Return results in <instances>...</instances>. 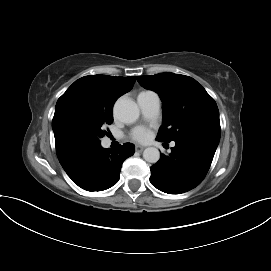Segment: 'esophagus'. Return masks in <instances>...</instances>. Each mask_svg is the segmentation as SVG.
<instances>
[{
  "instance_id": "obj_1",
  "label": "esophagus",
  "mask_w": 271,
  "mask_h": 271,
  "mask_svg": "<svg viewBox=\"0 0 271 271\" xmlns=\"http://www.w3.org/2000/svg\"><path fill=\"white\" fill-rule=\"evenodd\" d=\"M135 149L137 152H142L145 149V147L142 145H136Z\"/></svg>"
}]
</instances>
